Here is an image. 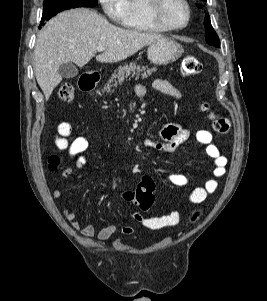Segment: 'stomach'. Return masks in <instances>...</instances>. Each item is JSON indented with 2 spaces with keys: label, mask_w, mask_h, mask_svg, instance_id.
I'll use <instances>...</instances> for the list:
<instances>
[{
  "label": "stomach",
  "mask_w": 267,
  "mask_h": 301,
  "mask_svg": "<svg viewBox=\"0 0 267 301\" xmlns=\"http://www.w3.org/2000/svg\"><path fill=\"white\" fill-rule=\"evenodd\" d=\"M184 52L176 41L160 38L151 43L147 49L148 59L156 65H166L178 60Z\"/></svg>",
  "instance_id": "1"
}]
</instances>
